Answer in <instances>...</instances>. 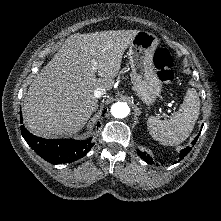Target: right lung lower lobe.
<instances>
[{
    "instance_id": "1",
    "label": "right lung lower lobe",
    "mask_w": 221,
    "mask_h": 221,
    "mask_svg": "<svg viewBox=\"0 0 221 221\" xmlns=\"http://www.w3.org/2000/svg\"><path fill=\"white\" fill-rule=\"evenodd\" d=\"M99 126L100 123H97V128ZM21 133L28 145L40 157L52 164L74 162L85 156L94 145V143H91V138L77 141L73 139L51 140L37 137L25 129L24 126H21Z\"/></svg>"
}]
</instances>
